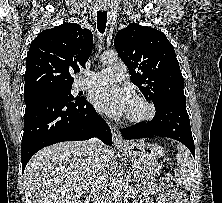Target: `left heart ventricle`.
Masks as SVG:
<instances>
[{
  "mask_svg": "<svg viewBox=\"0 0 222 203\" xmlns=\"http://www.w3.org/2000/svg\"><path fill=\"white\" fill-rule=\"evenodd\" d=\"M143 112H144L143 106L140 103L132 100L130 108H129L126 115L127 116H138V115L142 114Z\"/></svg>",
  "mask_w": 222,
  "mask_h": 203,
  "instance_id": "left-heart-ventricle-1",
  "label": "left heart ventricle"
}]
</instances>
